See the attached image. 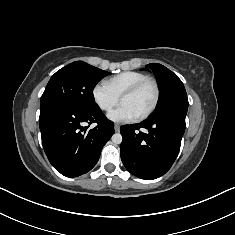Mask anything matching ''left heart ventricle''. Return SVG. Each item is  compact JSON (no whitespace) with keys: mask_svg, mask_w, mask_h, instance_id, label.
I'll list each match as a JSON object with an SVG mask.
<instances>
[{"mask_svg":"<svg viewBox=\"0 0 235 235\" xmlns=\"http://www.w3.org/2000/svg\"><path fill=\"white\" fill-rule=\"evenodd\" d=\"M153 99L154 89L151 85H146L136 94L124 97L121 103L131 107L139 116L150 107Z\"/></svg>","mask_w":235,"mask_h":235,"instance_id":"obj_1","label":"left heart ventricle"}]
</instances>
